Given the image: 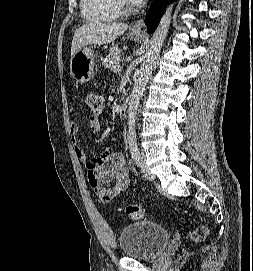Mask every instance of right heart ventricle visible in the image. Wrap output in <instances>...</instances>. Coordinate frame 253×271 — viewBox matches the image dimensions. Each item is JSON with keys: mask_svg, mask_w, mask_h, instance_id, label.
I'll list each match as a JSON object with an SVG mask.
<instances>
[{"mask_svg": "<svg viewBox=\"0 0 253 271\" xmlns=\"http://www.w3.org/2000/svg\"><path fill=\"white\" fill-rule=\"evenodd\" d=\"M81 14L89 23L111 22L121 16L116 0H80Z\"/></svg>", "mask_w": 253, "mask_h": 271, "instance_id": "obj_1", "label": "right heart ventricle"}]
</instances>
